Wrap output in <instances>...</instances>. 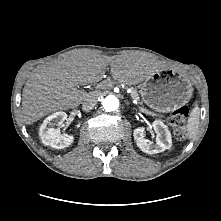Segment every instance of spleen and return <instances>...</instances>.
<instances>
[{"mask_svg":"<svg viewBox=\"0 0 221 221\" xmlns=\"http://www.w3.org/2000/svg\"><path fill=\"white\" fill-rule=\"evenodd\" d=\"M199 114L200 110L196 106L193 108V110L190 113V117L188 119L187 127H186V135L189 139H192L195 137L198 131V125H199Z\"/></svg>","mask_w":221,"mask_h":221,"instance_id":"1","label":"spleen"}]
</instances>
